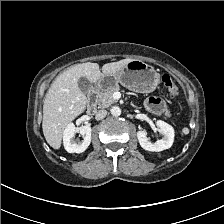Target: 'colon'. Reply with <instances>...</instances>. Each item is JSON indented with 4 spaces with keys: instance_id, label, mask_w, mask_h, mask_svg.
I'll return each instance as SVG.
<instances>
[{
    "instance_id": "5ec220e1",
    "label": "colon",
    "mask_w": 224,
    "mask_h": 224,
    "mask_svg": "<svg viewBox=\"0 0 224 224\" xmlns=\"http://www.w3.org/2000/svg\"><path fill=\"white\" fill-rule=\"evenodd\" d=\"M162 82L168 88L172 97H177L179 95V89L170 75L164 74L162 76Z\"/></svg>"
}]
</instances>
